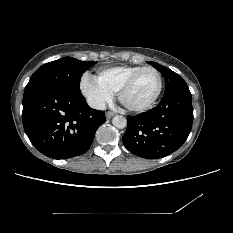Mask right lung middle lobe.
I'll use <instances>...</instances> for the list:
<instances>
[{
  "label": "right lung middle lobe",
  "instance_id": "right-lung-middle-lobe-1",
  "mask_svg": "<svg viewBox=\"0 0 233 233\" xmlns=\"http://www.w3.org/2000/svg\"><path fill=\"white\" fill-rule=\"evenodd\" d=\"M94 61H80L71 57H64L42 65L31 76L24 95L42 88H60L78 93L82 74Z\"/></svg>",
  "mask_w": 233,
  "mask_h": 233
}]
</instances>
